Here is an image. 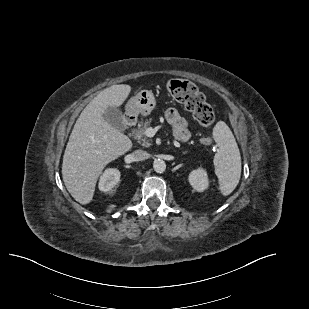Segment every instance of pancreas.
<instances>
[{
    "label": "pancreas",
    "instance_id": "obj_1",
    "mask_svg": "<svg viewBox=\"0 0 309 309\" xmlns=\"http://www.w3.org/2000/svg\"><path fill=\"white\" fill-rule=\"evenodd\" d=\"M151 120L141 121L136 129H133L132 134L134 138L142 146L149 147L151 145L150 140L146 137V130L150 126Z\"/></svg>",
    "mask_w": 309,
    "mask_h": 309
}]
</instances>
